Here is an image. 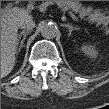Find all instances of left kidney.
<instances>
[{"mask_svg":"<svg viewBox=\"0 0 109 109\" xmlns=\"http://www.w3.org/2000/svg\"><path fill=\"white\" fill-rule=\"evenodd\" d=\"M81 50L84 54L91 57H96L98 54L96 49L92 45L83 44V46L81 47Z\"/></svg>","mask_w":109,"mask_h":109,"instance_id":"5707ae66","label":"left kidney"}]
</instances>
